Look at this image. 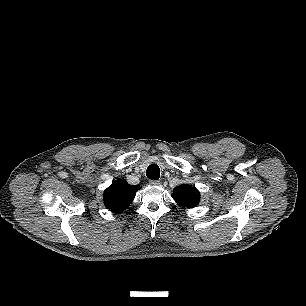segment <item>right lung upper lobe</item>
Returning <instances> with one entry per match:
<instances>
[{"mask_svg": "<svg viewBox=\"0 0 306 306\" xmlns=\"http://www.w3.org/2000/svg\"><path fill=\"white\" fill-rule=\"evenodd\" d=\"M140 188V185H130L124 180L113 182L104 191V204L114 213L122 212L128 208Z\"/></svg>", "mask_w": 306, "mask_h": 306, "instance_id": "1", "label": "right lung upper lobe"}]
</instances>
